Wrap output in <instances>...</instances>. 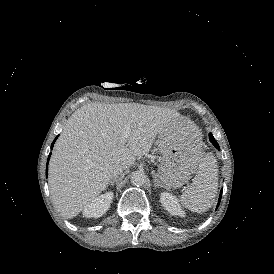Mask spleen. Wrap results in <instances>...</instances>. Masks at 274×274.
I'll use <instances>...</instances> for the list:
<instances>
[{"mask_svg": "<svg viewBox=\"0 0 274 274\" xmlns=\"http://www.w3.org/2000/svg\"><path fill=\"white\" fill-rule=\"evenodd\" d=\"M197 135L194 136L196 138ZM199 140L201 141L200 131ZM198 171L196 178L190 187H187L182 195L181 202L192 212L208 210L215 202L217 195V163L212 155L202 158L201 144L194 145Z\"/></svg>", "mask_w": 274, "mask_h": 274, "instance_id": "1", "label": "spleen"}]
</instances>
